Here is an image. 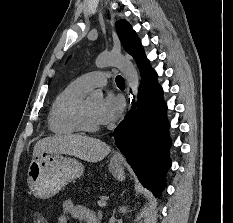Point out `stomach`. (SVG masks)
<instances>
[{
  "label": "stomach",
  "mask_w": 233,
  "mask_h": 223,
  "mask_svg": "<svg viewBox=\"0 0 233 223\" xmlns=\"http://www.w3.org/2000/svg\"><path fill=\"white\" fill-rule=\"evenodd\" d=\"M85 165L63 153L41 151L30 161L27 173L28 187L34 197L48 199L59 193L69 181H75L83 175ZM109 169L117 179H125L124 167L120 159H111Z\"/></svg>",
  "instance_id": "1"
}]
</instances>
